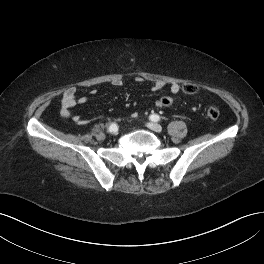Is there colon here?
<instances>
[{
	"mask_svg": "<svg viewBox=\"0 0 264 264\" xmlns=\"http://www.w3.org/2000/svg\"><path fill=\"white\" fill-rule=\"evenodd\" d=\"M182 89L186 94H194L197 92V86L192 83H185L182 86ZM158 102L160 107H171L174 104V99L170 96H163L158 100ZM205 114L210 120H217L219 118L220 112L217 107L209 106L206 109Z\"/></svg>",
	"mask_w": 264,
	"mask_h": 264,
	"instance_id": "obj_1",
	"label": "colon"
}]
</instances>
